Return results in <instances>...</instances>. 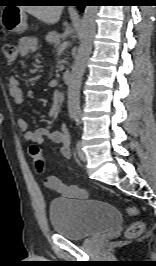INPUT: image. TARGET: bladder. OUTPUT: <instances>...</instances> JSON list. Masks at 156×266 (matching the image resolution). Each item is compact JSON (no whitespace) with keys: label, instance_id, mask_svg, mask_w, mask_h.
Listing matches in <instances>:
<instances>
[{"label":"bladder","instance_id":"obj_1","mask_svg":"<svg viewBox=\"0 0 156 266\" xmlns=\"http://www.w3.org/2000/svg\"><path fill=\"white\" fill-rule=\"evenodd\" d=\"M49 214L53 231L72 240L105 233L122 220L115 206L96 199H57L51 202Z\"/></svg>","mask_w":156,"mask_h":266}]
</instances>
